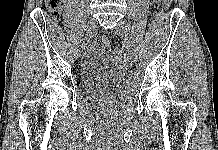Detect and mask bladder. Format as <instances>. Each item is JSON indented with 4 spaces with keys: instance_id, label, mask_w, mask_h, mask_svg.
<instances>
[{
    "instance_id": "1",
    "label": "bladder",
    "mask_w": 218,
    "mask_h": 150,
    "mask_svg": "<svg viewBox=\"0 0 218 150\" xmlns=\"http://www.w3.org/2000/svg\"><path fill=\"white\" fill-rule=\"evenodd\" d=\"M115 70L116 65L108 52L92 51L81 67V84L87 88L107 84L115 75Z\"/></svg>"
}]
</instances>
